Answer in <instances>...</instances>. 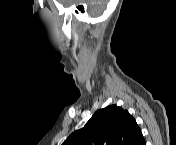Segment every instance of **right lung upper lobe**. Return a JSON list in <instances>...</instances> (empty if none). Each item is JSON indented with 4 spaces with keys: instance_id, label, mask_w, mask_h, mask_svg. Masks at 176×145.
<instances>
[{
    "instance_id": "right-lung-upper-lobe-1",
    "label": "right lung upper lobe",
    "mask_w": 176,
    "mask_h": 145,
    "mask_svg": "<svg viewBox=\"0 0 176 145\" xmlns=\"http://www.w3.org/2000/svg\"><path fill=\"white\" fill-rule=\"evenodd\" d=\"M63 145H145L135 119L127 110L110 105L96 111L82 129Z\"/></svg>"
}]
</instances>
